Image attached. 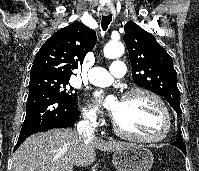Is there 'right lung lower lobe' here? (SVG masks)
Masks as SVG:
<instances>
[{
    "label": "right lung lower lobe",
    "instance_id": "98d812e1",
    "mask_svg": "<svg viewBox=\"0 0 199 171\" xmlns=\"http://www.w3.org/2000/svg\"><path fill=\"white\" fill-rule=\"evenodd\" d=\"M78 118L76 105L56 93L46 89L29 92L25 121L14 150L30 135L53 128L70 127Z\"/></svg>",
    "mask_w": 199,
    "mask_h": 171
}]
</instances>
